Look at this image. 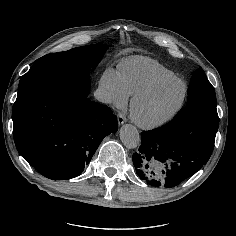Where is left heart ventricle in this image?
Segmentation results:
<instances>
[{"label": "left heart ventricle", "instance_id": "obj_1", "mask_svg": "<svg viewBox=\"0 0 236 236\" xmlns=\"http://www.w3.org/2000/svg\"><path fill=\"white\" fill-rule=\"evenodd\" d=\"M183 84L173 81L164 84L139 101L138 115L147 121L157 120L168 114L179 102Z\"/></svg>", "mask_w": 236, "mask_h": 236}]
</instances>
